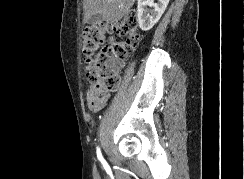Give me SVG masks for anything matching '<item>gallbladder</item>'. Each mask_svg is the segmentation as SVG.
I'll list each match as a JSON object with an SVG mask.
<instances>
[{"mask_svg": "<svg viewBox=\"0 0 244 179\" xmlns=\"http://www.w3.org/2000/svg\"><path fill=\"white\" fill-rule=\"evenodd\" d=\"M102 20V16H100V14H96V16H92V18L87 20V24H97V22H102Z\"/></svg>", "mask_w": 244, "mask_h": 179, "instance_id": "1", "label": "gallbladder"}]
</instances>
